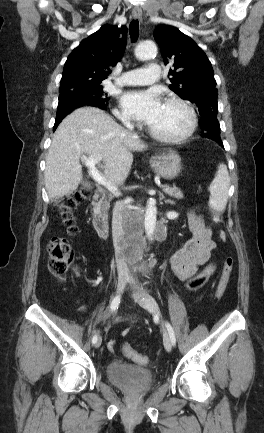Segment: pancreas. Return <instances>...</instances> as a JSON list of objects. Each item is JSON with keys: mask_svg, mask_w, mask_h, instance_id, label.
I'll list each match as a JSON object with an SVG mask.
<instances>
[{"mask_svg": "<svg viewBox=\"0 0 264 433\" xmlns=\"http://www.w3.org/2000/svg\"><path fill=\"white\" fill-rule=\"evenodd\" d=\"M172 196H174L175 198H177V199H183L184 197H183V195H182V193L181 192H178V191H174V192H172V193H170ZM112 200V197L111 196H109L108 197V199H106L105 201H104V203H103V205H102V211H103V213L104 214H107V211H108V209H109V207H110V201Z\"/></svg>", "mask_w": 264, "mask_h": 433, "instance_id": "pancreas-1", "label": "pancreas"}]
</instances>
